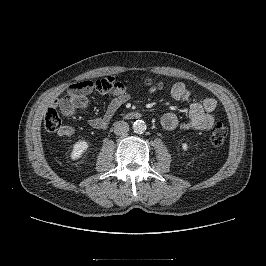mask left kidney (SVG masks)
I'll return each mask as SVG.
<instances>
[{"label":"left kidney","mask_w":266,"mask_h":266,"mask_svg":"<svg viewBox=\"0 0 266 266\" xmlns=\"http://www.w3.org/2000/svg\"><path fill=\"white\" fill-rule=\"evenodd\" d=\"M182 149H183L184 151H187V150H188V145H187V143H183V144H182Z\"/></svg>","instance_id":"5707ae66"}]
</instances>
